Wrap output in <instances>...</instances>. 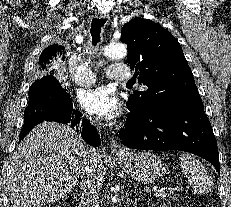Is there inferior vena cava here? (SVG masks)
I'll return each mask as SVG.
<instances>
[{"instance_id": "inferior-vena-cava-1", "label": "inferior vena cava", "mask_w": 231, "mask_h": 207, "mask_svg": "<svg viewBox=\"0 0 231 207\" xmlns=\"http://www.w3.org/2000/svg\"><path fill=\"white\" fill-rule=\"evenodd\" d=\"M86 161V166L80 175L81 204L83 207H100L97 193L98 186L95 181V168L102 164L101 156L95 149L87 147Z\"/></svg>"}]
</instances>
